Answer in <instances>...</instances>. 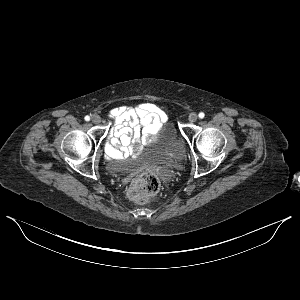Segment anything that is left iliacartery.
Masks as SVG:
<instances>
[{"label": "left iliac artery", "instance_id": "obj_1", "mask_svg": "<svg viewBox=\"0 0 300 300\" xmlns=\"http://www.w3.org/2000/svg\"><path fill=\"white\" fill-rule=\"evenodd\" d=\"M198 116H199L200 119H203L205 114L203 112H200Z\"/></svg>", "mask_w": 300, "mask_h": 300}]
</instances>
